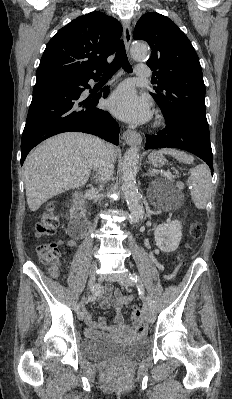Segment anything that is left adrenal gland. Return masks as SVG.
I'll return each instance as SVG.
<instances>
[{
	"label": "left adrenal gland",
	"instance_id": "obj_1",
	"mask_svg": "<svg viewBox=\"0 0 232 399\" xmlns=\"http://www.w3.org/2000/svg\"><path fill=\"white\" fill-rule=\"evenodd\" d=\"M146 176H154L152 170H148V174H146Z\"/></svg>",
	"mask_w": 232,
	"mask_h": 399
}]
</instances>
